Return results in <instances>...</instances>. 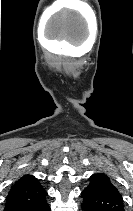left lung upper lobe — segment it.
<instances>
[{
  "mask_svg": "<svg viewBox=\"0 0 133 211\" xmlns=\"http://www.w3.org/2000/svg\"><path fill=\"white\" fill-rule=\"evenodd\" d=\"M88 187H94L96 189L121 196L117 188L112 184L110 178L103 173H96L92 175L90 177V183Z\"/></svg>",
  "mask_w": 133,
  "mask_h": 211,
  "instance_id": "obj_1",
  "label": "left lung upper lobe"
}]
</instances>
